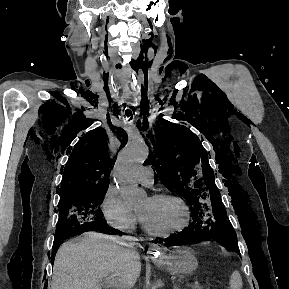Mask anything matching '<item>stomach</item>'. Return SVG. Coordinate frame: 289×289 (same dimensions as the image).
Returning a JSON list of instances; mask_svg holds the SVG:
<instances>
[{
  "label": "stomach",
  "instance_id": "obj_1",
  "mask_svg": "<svg viewBox=\"0 0 289 289\" xmlns=\"http://www.w3.org/2000/svg\"><path fill=\"white\" fill-rule=\"evenodd\" d=\"M168 268L178 275H191L198 266L197 259L192 250L182 248L166 256Z\"/></svg>",
  "mask_w": 289,
  "mask_h": 289
}]
</instances>
